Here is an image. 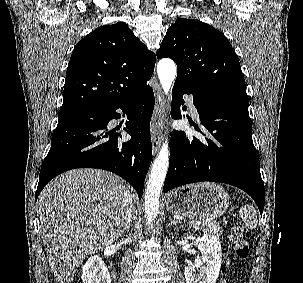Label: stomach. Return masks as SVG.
<instances>
[{
  "mask_svg": "<svg viewBox=\"0 0 303 283\" xmlns=\"http://www.w3.org/2000/svg\"><path fill=\"white\" fill-rule=\"evenodd\" d=\"M229 206V196L216 183L191 184L175 189L167 196L170 213L192 219H212L224 214Z\"/></svg>",
  "mask_w": 303,
  "mask_h": 283,
  "instance_id": "stomach-1",
  "label": "stomach"
}]
</instances>
